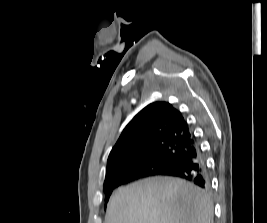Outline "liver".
Here are the masks:
<instances>
[{
	"mask_svg": "<svg viewBox=\"0 0 267 223\" xmlns=\"http://www.w3.org/2000/svg\"><path fill=\"white\" fill-rule=\"evenodd\" d=\"M105 223H213L210 197L177 178L154 177L118 188Z\"/></svg>",
	"mask_w": 267,
	"mask_h": 223,
	"instance_id": "liver-1",
	"label": "liver"
}]
</instances>
